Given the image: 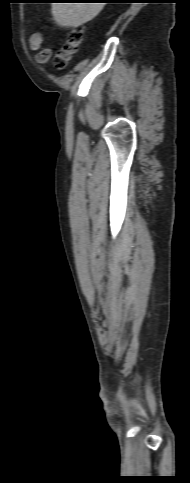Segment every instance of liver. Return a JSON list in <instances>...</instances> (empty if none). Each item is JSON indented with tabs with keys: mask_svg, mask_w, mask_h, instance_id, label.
Wrapping results in <instances>:
<instances>
[{
	"mask_svg": "<svg viewBox=\"0 0 190 483\" xmlns=\"http://www.w3.org/2000/svg\"><path fill=\"white\" fill-rule=\"evenodd\" d=\"M104 3H52V15L64 27H79L98 15Z\"/></svg>",
	"mask_w": 190,
	"mask_h": 483,
	"instance_id": "1",
	"label": "liver"
}]
</instances>
